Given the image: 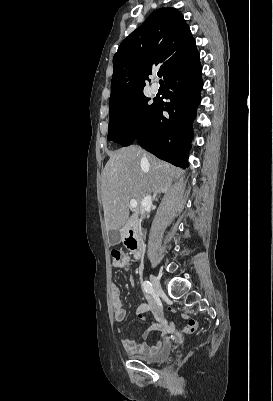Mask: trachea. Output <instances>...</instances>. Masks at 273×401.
<instances>
[{"label": "trachea", "mask_w": 273, "mask_h": 401, "mask_svg": "<svg viewBox=\"0 0 273 401\" xmlns=\"http://www.w3.org/2000/svg\"><path fill=\"white\" fill-rule=\"evenodd\" d=\"M157 75H158V77H162V72L161 71H159L158 73H157Z\"/></svg>", "instance_id": "trachea-1"}]
</instances>
